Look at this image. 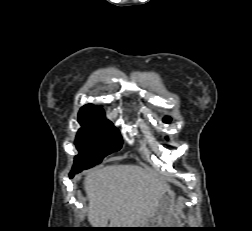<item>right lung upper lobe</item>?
<instances>
[{
    "mask_svg": "<svg viewBox=\"0 0 252 231\" xmlns=\"http://www.w3.org/2000/svg\"><path fill=\"white\" fill-rule=\"evenodd\" d=\"M79 114L86 115V114H104L102 108L95 106L93 104L84 105L81 109Z\"/></svg>",
    "mask_w": 252,
    "mask_h": 231,
    "instance_id": "right-lung-upper-lobe-1",
    "label": "right lung upper lobe"
}]
</instances>
